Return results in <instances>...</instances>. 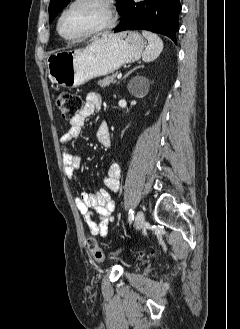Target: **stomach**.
I'll return each instance as SVG.
<instances>
[{
    "mask_svg": "<svg viewBox=\"0 0 240 329\" xmlns=\"http://www.w3.org/2000/svg\"><path fill=\"white\" fill-rule=\"evenodd\" d=\"M145 44L144 38L134 31L98 35L85 48L51 54L47 59L49 77L62 87L81 86L138 61Z\"/></svg>",
    "mask_w": 240,
    "mask_h": 329,
    "instance_id": "0dacf381",
    "label": "stomach"
}]
</instances>
